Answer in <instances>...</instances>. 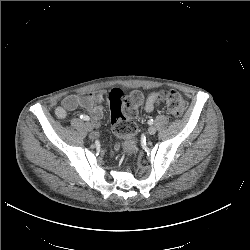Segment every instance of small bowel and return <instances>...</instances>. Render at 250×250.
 <instances>
[{
	"mask_svg": "<svg viewBox=\"0 0 250 250\" xmlns=\"http://www.w3.org/2000/svg\"><path fill=\"white\" fill-rule=\"evenodd\" d=\"M105 92L98 93H88L83 95H68L60 103L59 106L55 109V114L59 119H65L69 111L75 110L77 107H82L86 109L95 124L103 116V107L102 101L105 97ZM160 104V95L158 93H150L144 103V109L147 112H152Z\"/></svg>",
	"mask_w": 250,
	"mask_h": 250,
	"instance_id": "obj_1",
	"label": "small bowel"
}]
</instances>
